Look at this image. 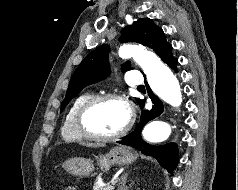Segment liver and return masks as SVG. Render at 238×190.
Returning a JSON list of instances; mask_svg holds the SVG:
<instances>
[{"label": "liver", "instance_id": "obj_1", "mask_svg": "<svg viewBox=\"0 0 238 190\" xmlns=\"http://www.w3.org/2000/svg\"><path fill=\"white\" fill-rule=\"evenodd\" d=\"M87 146H89V147H90V146H94V145H92V144H87Z\"/></svg>", "mask_w": 238, "mask_h": 190}]
</instances>
